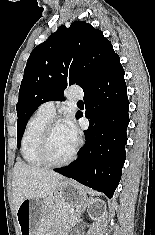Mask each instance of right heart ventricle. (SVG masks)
Returning a JSON list of instances; mask_svg holds the SVG:
<instances>
[{"label": "right heart ventricle", "mask_w": 155, "mask_h": 235, "mask_svg": "<svg viewBox=\"0 0 155 235\" xmlns=\"http://www.w3.org/2000/svg\"><path fill=\"white\" fill-rule=\"evenodd\" d=\"M51 119L52 116L37 110L26 123L21 138V155L23 160L31 166L44 165L38 155V146L43 129Z\"/></svg>", "instance_id": "e07e8e85"}]
</instances>
